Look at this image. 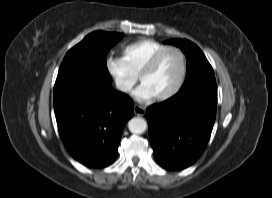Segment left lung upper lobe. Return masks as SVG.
<instances>
[{
	"label": "left lung upper lobe",
	"mask_w": 272,
	"mask_h": 198,
	"mask_svg": "<svg viewBox=\"0 0 272 198\" xmlns=\"http://www.w3.org/2000/svg\"><path fill=\"white\" fill-rule=\"evenodd\" d=\"M166 43L179 47L186 55L187 77L182 88L199 82L215 81L213 69L198 46L186 39H172Z\"/></svg>",
	"instance_id": "left-lung-upper-lobe-1"
}]
</instances>
